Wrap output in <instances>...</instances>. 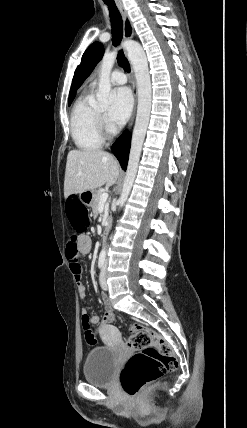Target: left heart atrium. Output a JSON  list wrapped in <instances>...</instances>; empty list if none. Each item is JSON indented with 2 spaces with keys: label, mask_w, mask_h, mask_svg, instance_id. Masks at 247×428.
Here are the masks:
<instances>
[{
  "label": "left heart atrium",
  "mask_w": 247,
  "mask_h": 428,
  "mask_svg": "<svg viewBox=\"0 0 247 428\" xmlns=\"http://www.w3.org/2000/svg\"><path fill=\"white\" fill-rule=\"evenodd\" d=\"M133 98L128 88H118L113 92V102L108 113L111 123L123 125L132 112Z\"/></svg>",
  "instance_id": "obj_1"
}]
</instances>
